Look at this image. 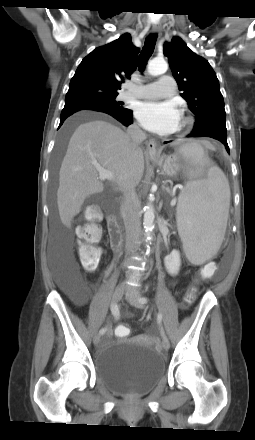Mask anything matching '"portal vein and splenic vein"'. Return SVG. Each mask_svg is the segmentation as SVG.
<instances>
[{
	"mask_svg": "<svg viewBox=\"0 0 255 440\" xmlns=\"http://www.w3.org/2000/svg\"><path fill=\"white\" fill-rule=\"evenodd\" d=\"M97 170L99 172L100 180H105V179L112 180V178H113V173L112 172H110V171H108L106 169H103L101 167H97Z\"/></svg>",
	"mask_w": 255,
	"mask_h": 440,
	"instance_id": "obj_1",
	"label": "portal vein and splenic vein"
}]
</instances>
